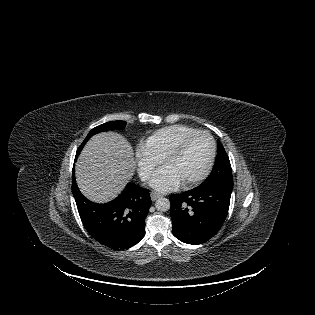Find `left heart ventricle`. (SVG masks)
<instances>
[{"label":"left heart ventricle","mask_w":315,"mask_h":315,"mask_svg":"<svg viewBox=\"0 0 315 315\" xmlns=\"http://www.w3.org/2000/svg\"><path fill=\"white\" fill-rule=\"evenodd\" d=\"M210 154V142L207 136L197 135L184 147L183 151L166 164L182 182L199 175L206 166Z\"/></svg>","instance_id":"obj_1"}]
</instances>
